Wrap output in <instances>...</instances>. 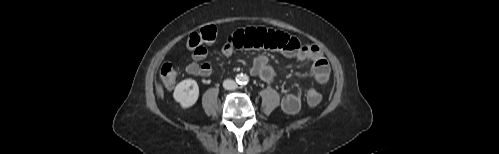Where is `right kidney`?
<instances>
[{
    "mask_svg": "<svg viewBox=\"0 0 499 154\" xmlns=\"http://www.w3.org/2000/svg\"><path fill=\"white\" fill-rule=\"evenodd\" d=\"M173 97L184 109L192 107L199 98V87L195 80L185 79L177 84Z\"/></svg>",
    "mask_w": 499,
    "mask_h": 154,
    "instance_id": "ca27d5eb",
    "label": "right kidney"
}]
</instances>
